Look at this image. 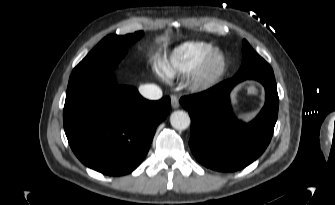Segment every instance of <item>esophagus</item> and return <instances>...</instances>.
Wrapping results in <instances>:
<instances>
[{"label": "esophagus", "instance_id": "esophagus-1", "mask_svg": "<svg viewBox=\"0 0 335 205\" xmlns=\"http://www.w3.org/2000/svg\"><path fill=\"white\" fill-rule=\"evenodd\" d=\"M171 106H172V108H174V109L179 108V106H180V102H179V99L177 98V96H172V97H171Z\"/></svg>", "mask_w": 335, "mask_h": 205}]
</instances>
